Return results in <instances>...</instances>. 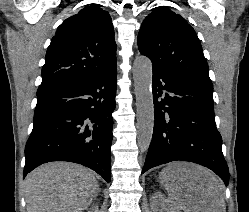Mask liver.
Returning <instances> with one entry per match:
<instances>
[{
	"mask_svg": "<svg viewBox=\"0 0 249 212\" xmlns=\"http://www.w3.org/2000/svg\"><path fill=\"white\" fill-rule=\"evenodd\" d=\"M167 168L172 212L176 208L184 212H226L222 186L211 170L188 162H175ZM25 184L27 212H82L99 192L93 172L69 162L39 166L26 176Z\"/></svg>",
	"mask_w": 249,
	"mask_h": 212,
	"instance_id": "6515ba94",
	"label": "liver"
}]
</instances>
